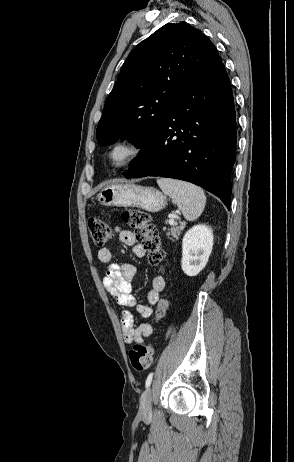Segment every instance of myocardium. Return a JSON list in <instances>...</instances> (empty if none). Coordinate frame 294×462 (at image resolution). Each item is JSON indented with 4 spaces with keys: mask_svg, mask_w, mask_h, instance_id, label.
<instances>
[{
    "mask_svg": "<svg viewBox=\"0 0 294 462\" xmlns=\"http://www.w3.org/2000/svg\"><path fill=\"white\" fill-rule=\"evenodd\" d=\"M119 150L123 151V155L116 159L115 154ZM143 151L144 147L138 139L132 136L119 137L105 149L104 162L111 170H121L136 161Z\"/></svg>",
    "mask_w": 294,
    "mask_h": 462,
    "instance_id": "myocardium-1",
    "label": "myocardium"
}]
</instances>
